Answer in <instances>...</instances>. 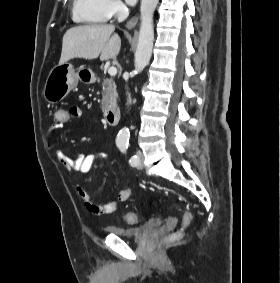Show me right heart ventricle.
Returning a JSON list of instances; mask_svg holds the SVG:
<instances>
[{
    "label": "right heart ventricle",
    "mask_w": 280,
    "mask_h": 283,
    "mask_svg": "<svg viewBox=\"0 0 280 283\" xmlns=\"http://www.w3.org/2000/svg\"><path fill=\"white\" fill-rule=\"evenodd\" d=\"M72 17L77 23L100 24L108 20L104 0H73Z\"/></svg>",
    "instance_id": "e07e8e85"
}]
</instances>
